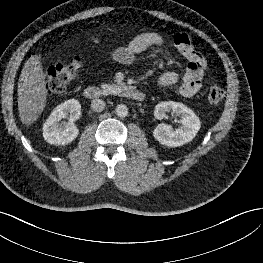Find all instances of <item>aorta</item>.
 <instances>
[{"label":"aorta","instance_id":"762f6f07","mask_svg":"<svg viewBox=\"0 0 263 263\" xmlns=\"http://www.w3.org/2000/svg\"><path fill=\"white\" fill-rule=\"evenodd\" d=\"M116 115L118 117L124 118L128 115V108L124 104H119L116 107Z\"/></svg>","mask_w":263,"mask_h":263}]
</instances>
